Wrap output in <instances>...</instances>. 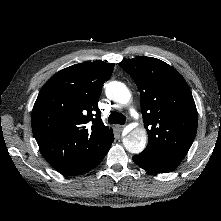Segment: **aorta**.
I'll return each instance as SVG.
<instances>
[{"mask_svg": "<svg viewBox=\"0 0 221 221\" xmlns=\"http://www.w3.org/2000/svg\"><path fill=\"white\" fill-rule=\"evenodd\" d=\"M106 95L109 99L120 103L127 104L131 99V93L126 85L119 81H112L106 86ZM147 142V132L144 128H136L132 130L123 139L125 149L134 154L141 153Z\"/></svg>", "mask_w": 221, "mask_h": 221, "instance_id": "762f6f07", "label": "aorta"}]
</instances>
